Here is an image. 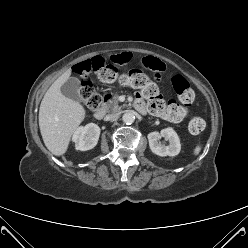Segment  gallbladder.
<instances>
[{"label": "gallbladder", "mask_w": 248, "mask_h": 248, "mask_svg": "<svg viewBox=\"0 0 248 248\" xmlns=\"http://www.w3.org/2000/svg\"><path fill=\"white\" fill-rule=\"evenodd\" d=\"M80 81L76 77H70L61 87V93L74 101H80Z\"/></svg>", "instance_id": "bac80fb5"}]
</instances>
